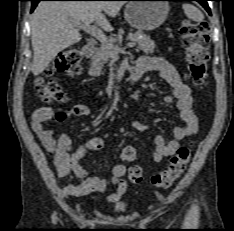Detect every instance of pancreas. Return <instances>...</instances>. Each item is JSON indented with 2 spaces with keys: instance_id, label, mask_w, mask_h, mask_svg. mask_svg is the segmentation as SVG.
Here are the masks:
<instances>
[{
  "instance_id": "obj_1",
  "label": "pancreas",
  "mask_w": 234,
  "mask_h": 231,
  "mask_svg": "<svg viewBox=\"0 0 234 231\" xmlns=\"http://www.w3.org/2000/svg\"><path fill=\"white\" fill-rule=\"evenodd\" d=\"M117 39L119 44L121 43V36L118 35ZM129 39L137 44V51L141 50L145 54H152L155 49V43L150 39L149 36L142 32H136L135 34H129ZM112 47L102 45L91 59V66L89 68V74L92 76H98L102 71L104 65L111 59L118 47L115 43V39L109 40Z\"/></svg>"
}]
</instances>
